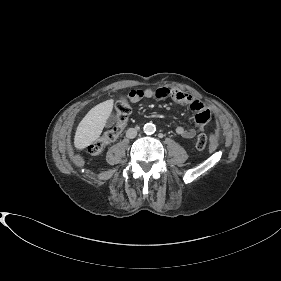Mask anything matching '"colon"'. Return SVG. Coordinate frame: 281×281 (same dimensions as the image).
Returning a JSON list of instances; mask_svg holds the SVG:
<instances>
[{
    "mask_svg": "<svg viewBox=\"0 0 281 281\" xmlns=\"http://www.w3.org/2000/svg\"><path fill=\"white\" fill-rule=\"evenodd\" d=\"M116 113H117V123L109 131H107L100 139L92 143L88 151L91 155L97 156L102 153L105 146L113 143L122 133L131 113L130 105L127 99L122 98L116 104ZM208 145V138L206 135L201 134L197 137L196 147L198 149H204Z\"/></svg>",
    "mask_w": 281,
    "mask_h": 281,
    "instance_id": "5ec220e1",
    "label": "colon"
}]
</instances>
